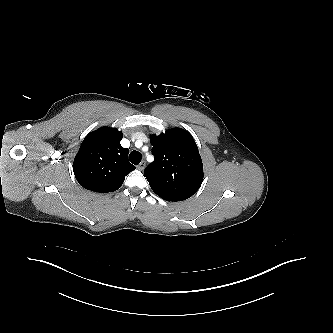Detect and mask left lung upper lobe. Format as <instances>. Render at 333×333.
<instances>
[{"label":"left lung upper lobe","instance_id":"left-lung-upper-lobe-1","mask_svg":"<svg viewBox=\"0 0 333 333\" xmlns=\"http://www.w3.org/2000/svg\"><path fill=\"white\" fill-rule=\"evenodd\" d=\"M155 156L145 170L152 190L166 201H183L194 195L203 181V165L198 147L189 132L168 129L151 136Z\"/></svg>","mask_w":333,"mask_h":333}]
</instances>
